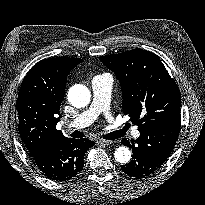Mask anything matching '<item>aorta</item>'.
<instances>
[{
    "label": "aorta",
    "mask_w": 205,
    "mask_h": 205,
    "mask_svg": "<svg viewBox=\"0 0 205 205\" xmlns=\"http://www.w3.org/2000/svg\"><path fill=\"white\" fill-rule=\"evenodd\" d=\"M91 94L89 89L81 84L73 85L68 91V101L76 108L86 107L90 103ZM115 160L120 164H126L131 159L130 150L125 147H119L114 153Z\"/></svg>",
    "instance_id": "762f6f07"
}]
</instances>
